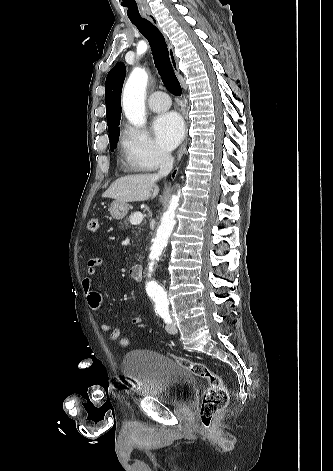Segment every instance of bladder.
<instances>
[{
  "label": "bladder",
  "mask_w": 333,
  "mask_h": 471,
  "mask_svg": "<svg viewBox=\"0 0 333 471\" xmlns=\"http://www.w3.org/2000/svg\"><path fill=\"white\" fill-rule=\"evenodd\" d=\"M125 377L135 384L134 392L166 405H181L196 389V379L190 371L172 358L153 350H134L122 362Z\"/></svg>",
  "instance_id": "1"
}]
</instances>
